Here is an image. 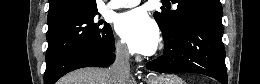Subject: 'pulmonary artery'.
<instances>
[{"label": "pulmonary artery", "instance_id": "1", "mask_svg": "<svg viewBox=\"0 0 260 84\" xmlns=\"http://www.w3.org/2000/svg\"><path fill=\"white\" fill-rule=\"evenodd\" d=\"M140 3L139 0H112L106 5L108 9L129 8Z\"/></svg>", "mask_w": 260, "mask_h": 84}]
</instances>
